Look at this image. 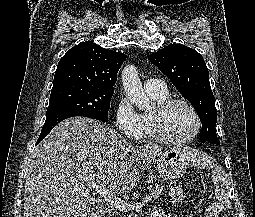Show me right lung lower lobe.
I'll return each instance as SVG.
<instances>
[{"mask_svg":"<svg viewBox=\"0 0 255 217\" xmlns=\"http://www.w3.org/2000/svg\"><path fill=\"white\" fill-rule=\"evenodd\" d=\"M74 116L90 117L85 114L74 113V112H70V111H56V112L46 115V121L43 125V128L41 130L40 136H39L36 144H38L41 140H43L59 122H61L64 119L74 117ZM90 118H92V117H90Z\"/></svg>","mask_w":255,"mask_h":217,"instance_id":"obj_1","label":"right lung lower lobe"}]
</instances>
